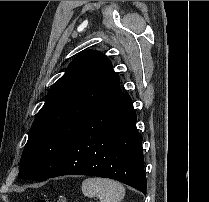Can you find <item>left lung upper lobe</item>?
Here are the masks:
<instances>
[{"mask_svg":"<svg viewBox=\"0 0 209 202\" xmlns=\"http://www.w3.org/2000/svg\"><path fill=\"white\" fill-rule=\"evenodd\" d=\"M120 94L119 76L105 55L79 54L49 90L29 131L18 176L47 180L84 122Z\"/></svg>","mask_w":209,"mask_h":202,"instance_id":"obj_1","label":"left lung upper lobe"}]
</instances>
